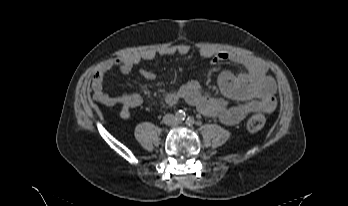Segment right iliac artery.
I'll list each match as a JSON object with an SVG mask.
<instances>
[{
  "instance_id": "obj_1",
  "label": "right iliac artery",
  "mask_w": 348,
  "mask_h": 206,
  "mask_svg": "<svg viewBox=\"0 0 348 206\" xmlns=\"http://www.w3.org/2000/svg\"><path fill=\"white\" fill-rule=\"evenodd\" d=\"M185 113L184 112H182V113H180L179 114V118L181 119V120H184L185 119Z\"/></svg>"
}]
</instances>
